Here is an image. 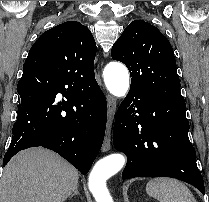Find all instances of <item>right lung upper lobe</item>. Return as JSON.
Instances as JSON below:
<instances>
[{"label":"right lung upper lobe","mask_w":209,"mask_h":202,"mask_svg":"<svg viewBox=\"0 0 209 202\" xmlns=\"http://www.w3.org/2000/svg\"><path fill=\"white\" fill-rule=\"evenodd\" d=\"M96 43L90 30L76 21H67L44 32L31 47L23 72L46 70L84 90L96 82Z\"/></svg>","instance_id":"1"}]
</instances>
